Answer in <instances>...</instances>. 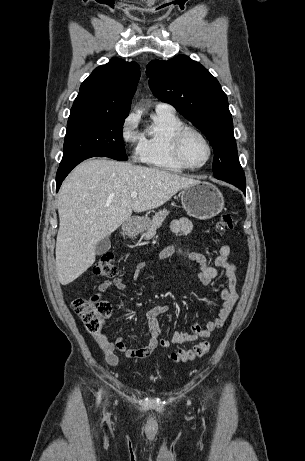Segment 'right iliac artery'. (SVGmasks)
Returning a JSON list of instances; mask_svg holds the SVG:
<instances>
[{
  "label": "right iliac artery",
  "instance_id": "82829eb1",
  "mask_svg": "<svg viewBox=\"0 0 305 461\" xmlns=\"http://www.w3.org/2000/svg\"><path fill=\"white\" fill-rule=\"evenodd\" d=\"M100 397H101V392H99V394H98V402L100 400Z\"/></svg>",
  "mask_w": 305,
  "mask_h": 461
}]
</instances>
